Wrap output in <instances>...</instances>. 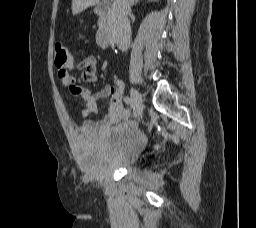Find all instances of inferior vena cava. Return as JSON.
<instances>
[{"label": "inferior vena cava", "instance_id": "obj_1", "mask_svg": "<svg viewBox=\"0 0 256 228\" xmlns=\"http://www.w3.org/2000/svg\"><path fill=\"white\" fill-rule=\"evenodd\" d=\"M133 2L134 0H115L110 9L112 38L122 51H127L131 42V27L127 14Z\"/></svg>", "mask_w": 256, "mask_h": 228}]
</instances>
